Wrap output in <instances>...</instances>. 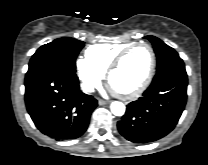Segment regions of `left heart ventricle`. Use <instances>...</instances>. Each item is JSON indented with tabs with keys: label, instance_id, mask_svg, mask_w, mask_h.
Masks as SVG:
<instances>
[{
	"label": "left heart ventricle",
	"instance_id": "1",
	"mask_svg": "<svg viewBox=\"0 0 208 165\" xmlns=\"http://www.w3.org/2000/svg\"><path fill=\"white\" fill-rule=\"evenodd\" d=\"M150 61L151 55L146 47L134 48L112 74L111 87L120 92H128L138 87L147 75Z\"/></svg>",
	"mask_w": 208,
	"mask_h": 165
}]
</instances>
